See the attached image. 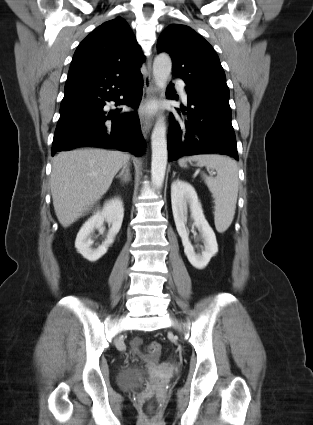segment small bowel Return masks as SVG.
Returning <instances> with one entry per match:
<instances>
[{"mask_svg":"<svg viewBox=\"0 0 313 425\" xmlns=\"http://www.w3.org/2000/svg\"><path fill=\"white\" fill-rule=\"evenodd\" d=\"M139 344H140L139 340H135V341L133 342V345H134L135 347H137Z\"/></svg>","mask_w":313,"mask_h":425,"instance_id":"1","label":"small bowel"}]
</instances>
